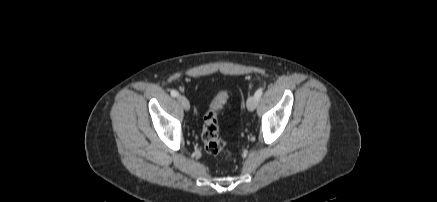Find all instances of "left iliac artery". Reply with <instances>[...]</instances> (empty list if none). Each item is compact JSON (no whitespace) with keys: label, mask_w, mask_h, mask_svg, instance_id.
I'll use <instances>...</instances> for the list:
<instances>
[{"label":"left iliac artery","mask_w":437,"mask_h":202,"mask_svg":"<svg viewBox=\"0 0 437 202\" xmlns=\"http://www.w3.org/2000/svg\"><path fill=\"white\" fill-rule=\"evenodd\" d=\"M262 93H263V89H262V88H259V89L255 92L254 96L256 97V99H259V98L262 96Z\"/></svg>","instance_id":"44dca946"}]
</instances>
